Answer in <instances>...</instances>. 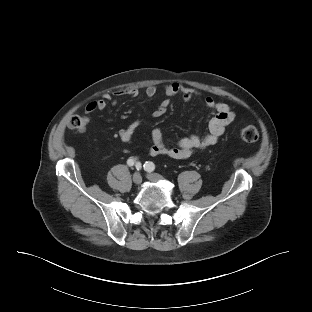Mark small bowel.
Here are the masks:
<instances>
[{"label": "small bowel", "mask_w": 312, "mask_h": 312, "mask_svg": "<svg viewBox=\"0 0 312 312\" xmlns=\"http://www.w3.org/2000/svg\"><path fill=\"white\" fill-rule=\"evenodd\" d=\"M156 93L157 87L154 85L148 86L145 90V94L149 98L154 97ZM165 94L166 98L162 100L153 112L154 117H160L166 113L173 97L181 96L184 102L202 98L199 91L176 82L165 86ZM137 95L138 90L135 88L116 91L113 94H104L102 98L88 103L85 111L87 114H92L97 110H104L109 103L117 104L123 97H135ZM203 101L205 106L213 113L208 125V131L205 134L182 138L177 145L170 146L165 142L162 130L156 127L152 130L153 143L148 150L149 154L152 156L164 155L174 159H187L215 144L226 128L233 122L234 112L226 103L217 101L212 96L203 97ZM139 126L140 121L134 120L127 127L120 129L119 137L121 141L125 144H130Z\"/></svg>", "instance_id": "1"}]
</instances>
